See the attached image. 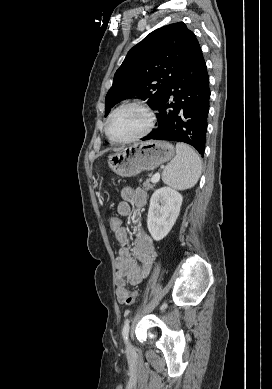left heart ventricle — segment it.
<instances>
[{
    "instance_id": "left-heart-ventricle-1",
    "label": "left heart ventricle",
    "mask_w": 272,
    "mask_h": 389,
    "mask_svg": "<svg viewBox=\"0 0 272 389\" xmlns=\"http://www.w3.org/2000/svg\"><path fill=\"white\" fill-rule=\"evenodd\" d=\"M145 114L136 107L119 110L111 119L109 132L113 139L122 140L134 136L146 125Z\"/></svg>"
}]
</instances>
